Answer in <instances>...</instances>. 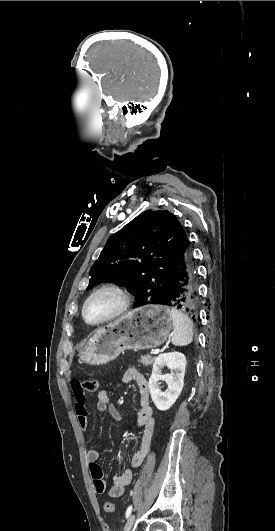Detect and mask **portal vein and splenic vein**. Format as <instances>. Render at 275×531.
Returning a JSON list of instances; mask_svg holds the SVG:
<instances>
[{
    "mask_svg": "<svg viewBox=\"0 0 275 531\" xmlns=\"http://www.w3.org/2000/svg\"><path fill=\"white\" fill-rule=\"evenodd\" d=\"M168 342H172V339H168ZM160 353L159 349L154 350V355H158Z\"/></svg>",
    "mask_w": 275,
    "mask_h": 531,
    "instance_id": "18ae733b",
    "label": "portal vein and splenic vein"
}]
</instances>
